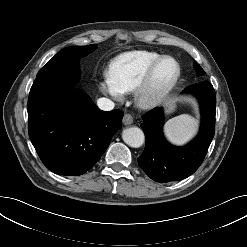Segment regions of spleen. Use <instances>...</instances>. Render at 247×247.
Returning <instances> with one entry per match:
<instances>
[{
    "label": "spleen",
    "instance_id": "3e777b00",
    "mask_svg": "<svg viewBox=\"0 0 247 247\" xmlns=\"http://www.w3.org/2000/svg\"><path fill=\"white\" fill-rule=\"evenodd\" d=\"M197 121L194 117L182 114L170 119L164 127L168 141L175 145H183L197 133Z\"/></svg>",
    "mask_w": 247,
    "mask_h": 247
}]
</instances>
